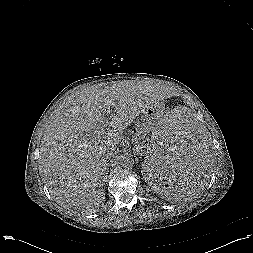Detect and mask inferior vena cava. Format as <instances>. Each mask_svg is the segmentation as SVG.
<instances>
[{
	"mask_svg": "<svg viewBox=\"0 0 253 253\" xmlns=\"http://www.w3.org/2000/svg\"><path fill=\"white\" fill-rule=\"evenodd\" d=\"M116 150V146L112 145L110 148V151H107V155H106V159L109 158L110 155H112V153Z\"/></svg>",
	"mask_w": 253,
	"mask_h": 253,
	"instance_id": "inferior-vena-cava-1",
	"label": "inferior vena cava"
}]
</instances>
